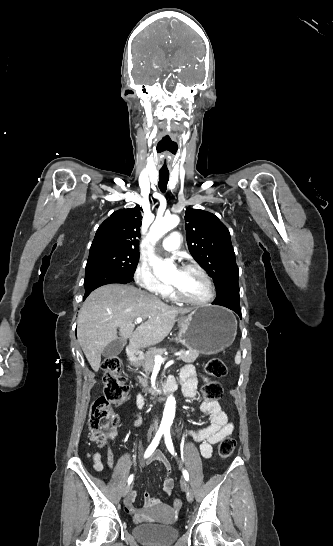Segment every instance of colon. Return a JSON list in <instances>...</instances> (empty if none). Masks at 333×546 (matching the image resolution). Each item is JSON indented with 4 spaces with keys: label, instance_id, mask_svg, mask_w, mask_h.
<instances>
[{
    "label": "colon",
    "instance_id": "5ec220e1",
    "mask_svg": "<svg viewBox=\"0 0 333 546\" xmlns=\"http://www.w3.org/2000/svg\"><path fill=\"white\" fill-rule=\"evenodd\" d=\"M104 370V395L94 401L90 409L89 429L91 440L97 444L103 443L113 436L119 426V420L113 411V406L125 402L129 396V387L120 374V360L116 356L107 357L102 363ZM205 371L214 378L227 375L228 369L223 360L210 359L205 365ZM205 401H215L222 396V388L216 381H209L202 389ZM236 447V440L231 436L223 438L218 447L221 458H228ZM173 505L181 509L183 501L175 499Z\"/></svg>",
    "mask_w": 333,
    "mask_h": 546
}]
</instances>
